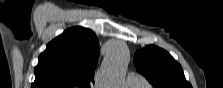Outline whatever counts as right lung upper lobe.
<instances>
[{
	"label": "right lung upper lobe",
	"mask_w": 223,
	"mask_h": 88,
	"mask_svg": "<svg viewBox=\"0 0 223 88\" xmlns=\"http://www.w3.org/2000/svg\"><path fill=\"white\" fill-rule=\"evenodd\" d=\"M99 41L89 29L73 27L40 54L32 88H90L99 58Z\"/></svg>",
	"instance_id": "cb5924a9"
}]
</instances>
